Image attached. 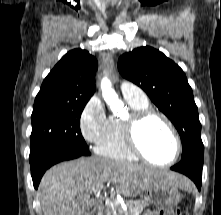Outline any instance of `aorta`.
Instances as JSON below:
<instances>
[{
	"label": "aorta",
	"mask_w": 221,
	"mask_h": 215,
	"mask_svg": "<svg viewBox=\"0 0 221 215\" xmlns=\"http://www.w3.org/2000/svg\"><path fill=\"white\" fill-rule=\"evenodd\" d=\"M101 90L105 102L109 105L113 113H119L124 105L122 101L119 100L114 89H112V84L107 77H104L101 81Z\"/></svg>",
	"instance_id": "1"
}]
</instances>
